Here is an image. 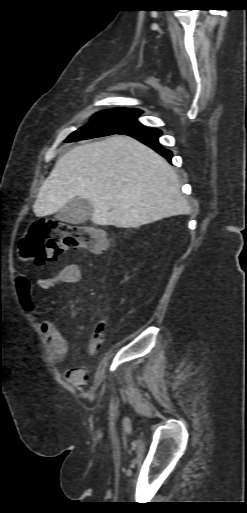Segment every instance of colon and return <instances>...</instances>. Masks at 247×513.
Segmentation results:
<instances>
[{
    "instance_id": "1",
    "label": "colon",
    "mask_w": 247,
    "mask_h": 513,
    "mask_svg": "<svg viewBox=\"0 0 247 513\" xmlns=\"http://www.w3.org/2000/svg\"><path fill=\"white\" fill-rule=\"evenodd\" d=\"M108 239L103 231L84 225H75L56 219L34 221L19 242V253L23 259L39 264L55 261L70 248H82L93 253L104 252ZM104 324L99 322L91 339L98 349L104 342Z\"/></svg>"
}]
</instances>
